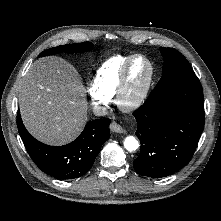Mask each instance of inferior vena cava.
Wrapping results in <instances>:
<instances>
[{
	"mask_svg": "<svg viewBox=\"0 0 221 221\" xmlns=\"http://www.w3.org/2000/svg\"><path fill=\"white\" fill-rule=\"evenodd\" d=\"M93 113L96 116H105L107 114V109L103 106H94Z\"/></svg>",
	"mask_w": 221,
	"mask_h": 221,
	"instance_id": "602c4592",
	"label": "inferior vena cava"
}]
</instances>
